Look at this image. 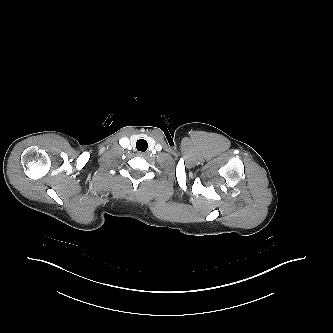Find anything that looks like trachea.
<instances>
[{"label":"trachea","mask_w":333,"mask_h":333,"mask_svg":"<svg viewBox=\"0 0 333 333\" xmlns=\"http://www.w3.org/2000/svg\"><path fill=\"white\" fill-rule=\"evenodd\" d=\"M136 147L138 151L145 152L148 148V143L144 139H139L136 143Z\"/></svg>","instance_id":"obj_1"}]
</instances>
